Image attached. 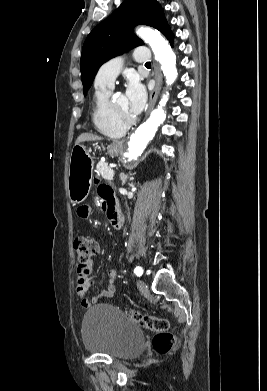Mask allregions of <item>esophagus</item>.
<instances>
[{
  "label": "esophagus",
  "instance_id": "1",
  "mask_svg": "<svg viewBox=\"0 0 267 391\" xmlns=\"http://www.w3.org/2000/svg\"><path fill=\"white\" fill-rule=\"evenodd\" d=\"M155 78H156V85H155L154 90L150 94V102H149V111H148V113L155 106V103H156V100H157V97H158V94H159V91H160L161 85H162V73H161V71L159 70V68L157 66L155 67Z\"/></svg>",
  "mask_w": 267,
  "mask_h": 391
}]
</instances>
